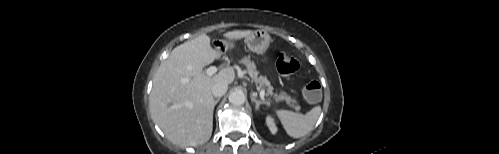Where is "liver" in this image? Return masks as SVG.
Returning a JSON list of instances; mask_svg holds the SVG:
<instances>
[{"label": "liver", "instance_id": "obj_1", "mask_svg": "<svg viewBox=\"0 0 499 154\" xmlns=\"http://www.w3.org/2000/svg\"><path fill=\"white\" fill-rule=\"evenodd\" d=\"M251 30H234L223 34L226 49L246 38ZM220 48L213 49L206 34L187 41L172 50L161 63L150 94V111L165 136L179 146H197L207 142L213 130L215 100L212 87L218 82L231 84L232 68L208 76L204 67L220 59Z\"/></svg>", "mask_w": 499, "mask_h": 154}]
</instances>
